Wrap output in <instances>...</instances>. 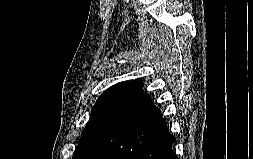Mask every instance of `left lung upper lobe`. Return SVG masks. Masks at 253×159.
I'll list each match as a JSON object with an SVG mask.
<instances>
[{"label": "left lung upper lobe", "instance_id": "1", "mask_svg": "<svg viewBox=\"0 0 253 159\" xmlns=\"http://www.w3.org/2000/svg\"><path fill=\"white\" fill-rule=\"evenodd\" d=\"M142 88V82L131 80L117 83L101 94L92 108L90 119L81 134L79 145L72 159H87L91 148L109 122L143 94Z\"/></svg>", "mask_w": 253, "mask_h": 159}]
</instances>
